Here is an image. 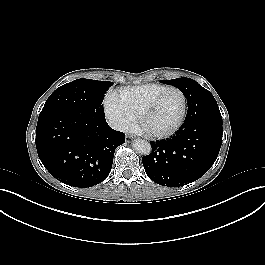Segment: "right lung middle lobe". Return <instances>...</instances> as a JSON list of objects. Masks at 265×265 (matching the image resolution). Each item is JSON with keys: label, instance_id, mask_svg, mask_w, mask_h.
I'll return each mask as SVG.
<instances>
[{"label": "right lung middle lobe", "instance_id": "dd1d6c3e", "mask_svg": "<svg viewBox=\"0 0 265 265\" xmlns=\"http://www.w3.org/2000/svg\"><path fill=\"white\" fill-rule=\"evenodd\" d=\"M113 85L110 81L77 79L57 88L47 99L41 112L66 110L92 113L105 117L104 94Z\"/></svg>", "mask_w": 265, "mask_h": 265}]
</instances>
